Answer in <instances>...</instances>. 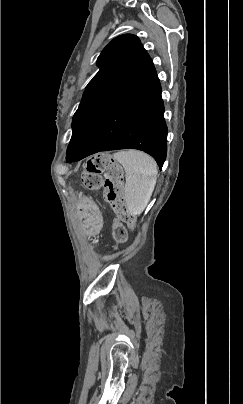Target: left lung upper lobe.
<instances>
[{"instance_id": "1", "label": "left lung upper lobe", "mask_w": 243, "mask_h": 404, "mask_svg": "<svg viewBox=\"0 0 243 404\" xmlns=\"http://www.w3.org/2000/svg\"><path fill=\"white\" fill-rule=\"evenodd\" d=\"M97 66L100 70L87 85L73 117L66 160L76 154L106 110L156 74L139 38L131 34L113 39L98 57Z\"/></svg>"}]
</instances>
